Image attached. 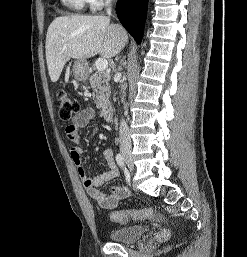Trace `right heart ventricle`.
<instances>
[{
	"instance_id": "obj_1",
	"label": "right heart ventricle",
	"mask_w": 247,
	"mask_h": 257,
	"mask_svg": "<svg viewBox=\"0 0 247 257\" xmlns=\"http://www.w3.org/2000/svg\"><path fill=\"white\" fill-rule=\"evenodd\" d=\"M63 4L71 10L81 11L85 7L84 0H62Z\"/></svg>"
}]
</instances>
